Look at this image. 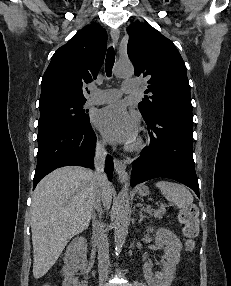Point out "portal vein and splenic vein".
<instances>
[{"label":"portal vein and splenic vein","instance_id":"18ae733b","mask_svg":"<svg viewBox=\"0 0 231 286\" xmlns=\"http://www.w3.org/2000/svg\"><path fill=\"white\" fill-rule=\"evenodd\" d=\"M142 210L147 211V212L151 211L149 207H147V208L142 207Z\"/></svg>","mask_w":231,"mask_h":286}]
</instances>
